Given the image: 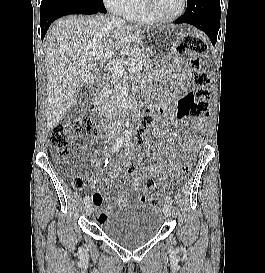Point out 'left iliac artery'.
<instances>
[{"instance_id": "obj_1", "label": "left iliac artery", "mask_w": 265, "mask_h": 273, "mask_svg": "<svg viewBox=\"0 0 265 273\" xmlns=\"http://www.w3.org/2000/svg\"><path fill=\"white\" fill-rule=\"evenodd\" d=\"M166 202L169 203V204H172L173 203V200L170 196H166L165 198Z\"/></svg>"}]
</instances>
